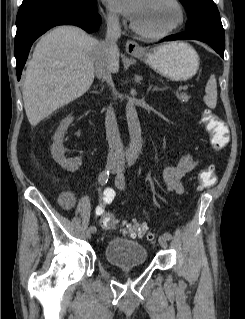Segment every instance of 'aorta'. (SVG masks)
I'll list each match as a JSON object with an SVG mask.
<instances>
[{
	"label": "aorta",
	"instance_id": "obj_1",
	"mask_svg": "<svg viewBox=\"0 0 245 319\" xmlns=\"http://www.w3.org/2000/svg\"><path fill=\"white\" fill-rule=\"evenodd\" d=\"M126 119L130 142L125 155L128 161L133 162L138 158L142 149V133L137 111L131 99L126 104Z\"/></svg>",
	"mask_w": 245,
	"mask_h": 319
}]
</instances>
